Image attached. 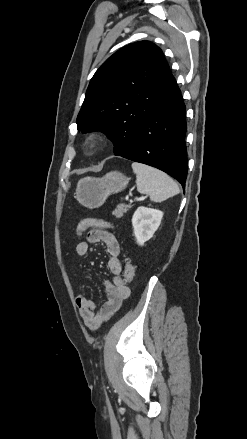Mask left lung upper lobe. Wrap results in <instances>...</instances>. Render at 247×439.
Wrapping results in <instances>:
<instances>
[{
  "label": "left lung upper lobe",
  "mask_w": 247,
  "mask_h": 439,
  "mask_svg": "<svg viewBox=\"0 0 247 439\" xmlns=\"http://www.w3.org/2000/svg\"><path fill=\"white\" fill-rule=\"evenodd\" d=\"M177 86L159 47L129 44L109 57L92 77L77 117L83 133L100 130L113 141L115 155L132 144L141 121Z\"/></svg>",
  "instance_id": "left-lung-upper-lobe-1"
}]
</instances>
